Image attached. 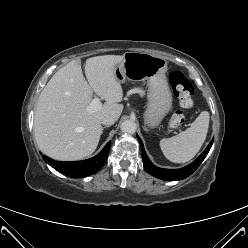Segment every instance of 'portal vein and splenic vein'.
Here are the masks:
<instances>
[{
    "label": "portal vein and splenic vein",
    "mask_w": 248,
    "mask_h": 248,
    "mask_svg": "<svg viewBox=\"0 0 248 248\" xmlns=\"http://www.w3.org/2000/svg\"><path fill=\"white\" fill-rule=\"evenodd\" d=\"M101 107V102L100 99L98 97H95L92 102L90 103V105L88 106L89 110H97Z\"/></svg>",
    "instance_id": "1"
}]
</instances>
